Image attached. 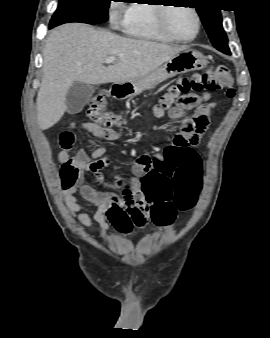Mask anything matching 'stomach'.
<instances>
[{"label": "stomach", "mask_w": 270, "mask_h": 338, "mask_svg": "<svg viewBox=\"0 0 270 338\" xmlns=\"http://www.w3.org/2000/svg\"><path fill=\"white\" fill-rule=\"evenodd\" d=\"M207 63V59L200 52L186 49L176 54L157 69L132 81L120 84V86L124 95L132 96L176 75L202 70L207 66Z\"/></svg>", "instance_id": "1"}]
</instances>
